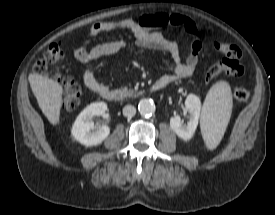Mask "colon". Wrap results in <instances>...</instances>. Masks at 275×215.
Listing matches in <instances>:
<instances>
[{"instance_id":"5ec220e1","label":"colon","mask_w":275,"mask_h":215,"mask_svg":"<svg viewBox=\"0 0 275 215\" xmlns=\"http://www.w3.org/2000/svg\"><path fill=\"white\" fill-rule=\"evenodd\" d=\"M166 24L181 26L186 32L194 31L193 23L182 16H170L165 19ZM214 48L223 59L220 63L210 67L205 73V80L212 82L222 74L240 76L244 71L243 57L241 50L231 44L216 42ZM64 57L63 45L55 42L48 46L42 56L34 64V72L44 75L47 73L50 64L62 60ZM62 84V107L66 111L75 110L80 104L81 88L73 80L60 79ZM234 96L238 101L248 100L250 93L247 89L239 87L234 90Z\"/></svg>"}]
</instances>
